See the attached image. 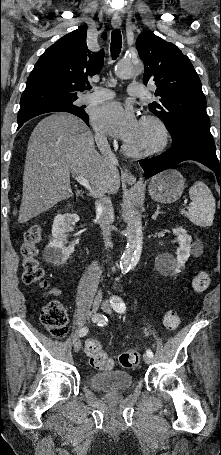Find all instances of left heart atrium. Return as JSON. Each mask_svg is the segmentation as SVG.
Returning <instances> with one entry per match:
<instances>
[{"instance_id": "1", "label": "left heart atrium", "mask_w": 221, "mask_h": 455, "mask_svg": "<svg viewBox=\"0 0 221 455\" xmlns=\"http://www.w3.org/2000/svg\"><path fill=\"white\" fill-rule=\"evenodd\" d=\"M92 122L98 130L126 142L135 136L139 128V122L133 109L118 102L96 107L92 115Z\"/></svg>"}]
</instances>
